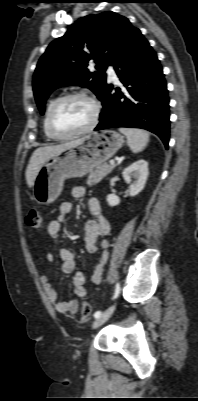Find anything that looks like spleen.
Returning a JSON list of instances; mask_svg holds the SVG:
<instances>
[{
  "mask_svg": "<svg viewBox=\"0 0 198 401\" xmlns=\"http://www.w3.org/2000/svg\"><path fill=\"white\" fill-rule=\"evenodd\" d=\"M119 131L126 136L127 145L133 153L143 151L149 142L147 131L135 128H119Z\"/></svg>",
  "mask_w": 198,
  "mask_h": 401,
  "instance_id": "spleen-1",
  "label": "spleen"
}]
</instances>
